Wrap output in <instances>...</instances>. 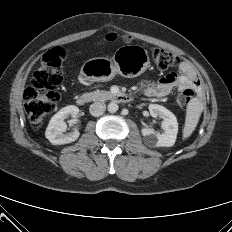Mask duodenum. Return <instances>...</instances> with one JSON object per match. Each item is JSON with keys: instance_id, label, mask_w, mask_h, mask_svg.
Masks as SVG:
<instances>
[{"instance_id": "410a0bca", "label": "duodenum", "mask_w": 232, "mask_h": 232, "mask_svg": "<svg viewBox=\"0 0 232 232\" xmlns=\"http://www.w3.org/2000/svg\"><path fill=\"white\" fill-rule=\"evenodd\" d=\"M112 98L115 102H119V103H126L132 100V97L130 95L121 94V93L114 94ZM88 99H89L88 95L82 94L77 97L76 103L79 106H84L88 102Z\"/></svg>"}]
</instances>
